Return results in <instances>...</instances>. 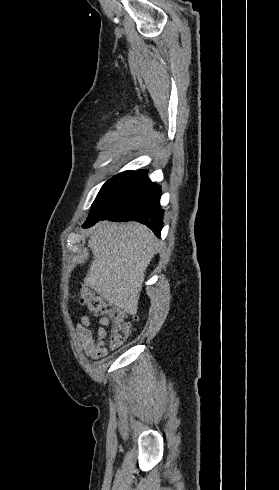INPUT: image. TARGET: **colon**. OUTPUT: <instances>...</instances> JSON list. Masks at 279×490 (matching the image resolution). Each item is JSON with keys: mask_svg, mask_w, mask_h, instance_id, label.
<instances>
[{"mask_svg": "<svg viewBox=\"0 0 279 490\" xmlns=\"http://www.w3.org/2000/svg\"><path fill=\"white\" fill-rule=\"evenodd\" d=\"M80 297L89 314L95 317H105L109 320L111 325L109 328L111 347L118 349L123 345L134 330L127 321L124 311L103 300L101 296L89 287L81 289Z\"/></svg>", "mask_w": 279, "mask_h": 490, "instance_id": "1", "label": "colon"}]
</instances>
